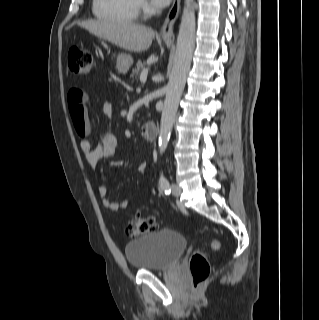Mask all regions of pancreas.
Returning <instances> with one entry per match:
<instances>
[{
	"mask_svg": "<svg viewBox=\"0 0 319 320\" xmlns=\"http://www.w3.org/2000/svg\"><path fill=\"white\" fill-rule=\"evenodd\" d=\"M145 67V63L138 62L136 67L132 69L131 77L137 76L142 68Z\"/></svg>",
	"mask_w": 319,
	"mask_h": 320,
	"instance_id": "1",
	"label": "pancreas"
}]
</instances>
